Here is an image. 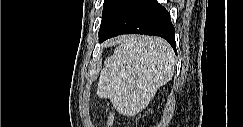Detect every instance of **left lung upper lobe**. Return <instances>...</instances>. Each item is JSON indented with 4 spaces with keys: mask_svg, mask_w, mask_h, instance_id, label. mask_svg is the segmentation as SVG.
Instances as JSON below:
<instances>
[{
    "mask_svg": "<svg viewBox=\"0 0 243 127\" xmlns=\"http://www.w3.org/2000/svg\"><path fill=\"white\" fill-rule=\"evenodd\" d=\"M121 1L122 0H104V8H103V13H102V21H101L100 28L106 26L107 16L118 6V4Z\"/></svg>",
    "mask_w": 243,
    "mask_h": 127,
    "instance_id": "obj_1",
    "label": "left lung upper lobe"
}]
</instances>
